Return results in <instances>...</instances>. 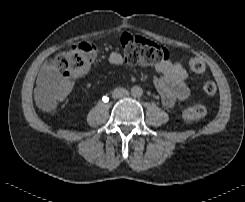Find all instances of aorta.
Listing matches in <instances>:
<instances>
[{
	"mask_svg": "<svg viewBox=\"0 0 245 202\" xmlns=\"http://www.w3.org/2000/svg\"><path fill=\"white\" fill-rule=\"evenodd\" d=\"M131 94H132L133 97H140L143 94V90L139 86H134L131 89Z\"/></svg>",
	"mask_w": 245,
	"mask_h": 202,
	"instance_id": "obj_1",
	"label": "aorta"
}]
</instances>
